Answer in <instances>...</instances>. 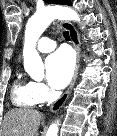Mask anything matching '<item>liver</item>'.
<instances>
[{
	"instance_id": "liver-1",
	"label": "liver",
	"mask_w": 117,
	"mask_h": 136,
	"mask_svg": "<svg viewBox=\"0 0 117 136\" xmlns=\"http://www.w3.org/2000/svg\"><path fill=\"white\" fill-rule=\"evenodd\" d=\"M41 113L28 108H15L6 113L0 136H35Z\"/></svg>"
}]
</instances>
